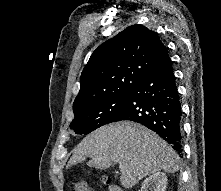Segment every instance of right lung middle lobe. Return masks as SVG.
<instances>
[{
    "mask_svg": "<svg viewBox=\"0 0 221 191\" xmlns=\"http://www.w3.org/2000/svg\"><path fill=\"white\" fill-rule=\"evenodd\" d=\"M131 93L132 91L122 92L74 112L75 118L70 128L76 134H88L105 124L115 122L124 112Z\"/></svg>",
    "mask_w": 221,
    "mask_h": 191,
    "instance_id": "right-lung-middle-lobe-1",
    "label": "right lung middle lobe"
}]
</instances>
